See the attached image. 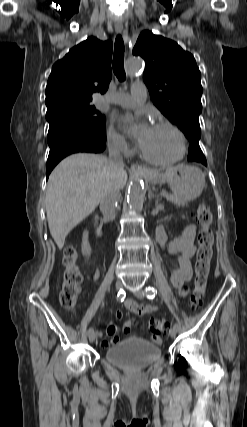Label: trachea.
<instances>
[{"instance_id": "trachea-1", "label": "trachea", "mask_w": 247, "mask_h": 427, "mask_svg": "<svg viewBox=\"0 0 247 427\" xmlns=\"http://www.w3.org/2000/svg\"><path fill=\"white\" fill-rule=\"evenodd\" d=\"M113 71L119 81L123 82L126 79L124 71V42L121 35H118L115 39Z\"/></svg>"}]
</instances>
